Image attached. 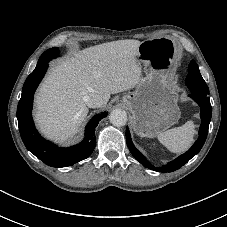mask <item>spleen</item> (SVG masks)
Returning a JSON list of instances; mask_svg holds the SVG:
<instances>
[{
    "label": "spleen",
    "instance_id": "3e777b00",
    "mask_svg": "<svg viewBox=\"0 0 227 227\" xmlns=\"http://www.w3.org/2000/svg\"><path fill=\"white\" fill-rule=\"evenodd\" d=\"M195 125L187 121L180 127L169 129L158 134V140L173 153H183L190 148L194 141Z\"/></svg>",
    "mask_w": 227,
    "mask_h": 227
}]
</instances>
